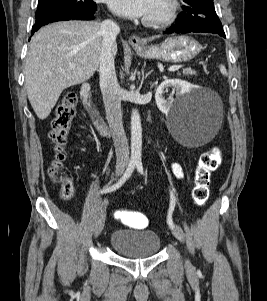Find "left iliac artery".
I'll return each mask as SVG.
<instances>
[{"instance_id": "obj_1", "label": "left iliac artery", "mask_w": 267, "mask_h": 301, "mask_svg": "<svg viewBox=\"0 0 267 301\" xmlns=\"http://www.w3.org/2000/svg\"><path fill=\"white\" fill-rule=\"evenodd\" d=\"M136 168L139 173L144 174L143 165H142L141 161H136ZM175 200L176 199H175L174 193L170 190V207H169V211H168V215H167V223L170 226V228L174 227V223L172 220V212L175 207Z\"/></svg>"}]
</instances>
